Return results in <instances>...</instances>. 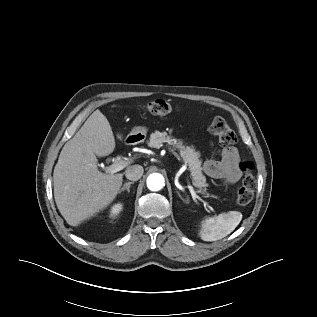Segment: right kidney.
<instances>
[{"label":"right kidney","mask_w":317,"mask_h":317,"mask_svg":"<svg viewBox=\"0 0 317 317\" xmlns=\"http://www.w3.org/2000/svg\"><path fill=\"white\" fill-rule=\"evenodd\" d=\"M121 210H122V204L121 203L115 204L109 211V217L116 218L121 212Z\"/></svg>","instance_id":"1"}]
</instances>
